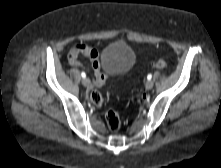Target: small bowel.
I'll use <instances>...</instances> for the list:
<instances>
[{
    "instance_id": "c3829d8e",
    "label": "small bowel",
    "mask_w": 221,
    "mask_h": 168,
    "mask_svg": "<svg viewBox=\"0 0 221 168\" xmlns=\"http://www.w3.org/2000/svg\"><path fill=\"white\" fill-rule=\"evenodd\" d=\"M79 56L87 57L93 68V85L101 87L103 86L109 74L101 71V61L98 52L87 45L77 44L75 45L68 54V61L73 66H81Z\"/></svg>"
}]
</instances>
